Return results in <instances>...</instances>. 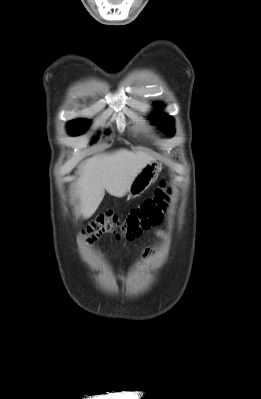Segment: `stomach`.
<instances>
[{
  "instance_id": "1",
  "label": "stomach",
  "mask_w": 261,
  "mask_h": 399,
  "mask_svg": "<svg viewBox=\"0 0 261 399\" xmlns=\"http://www.w3.org/2000/svg\"><path fill=\"white\" fill-rule=\"evenodd\" d=\"M158 163L152 161L148 163L134 178L129 190L128 196L135 198L140 196L154 182L157 172Z\"/></svg>"
}]
</instances>
